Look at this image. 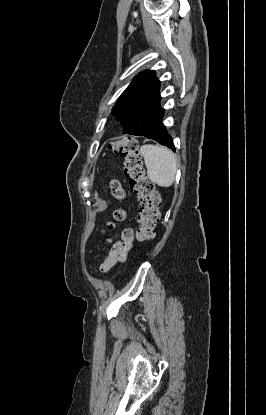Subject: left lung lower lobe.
I'll return each mask as SVG.
<instances>
[{
  "label": "left lung lower lobe",
  "mask_w": 266,
  "mask_h": 415,
  "mask_svg": "<svg viewBox=\"0 0 266 415\" xmlns=\"http://www.w3.org/2000/svg\"><path fill=\"white\" fill-rule=\"evenodd\" d=\"M141 135L145 136L146 138L153 139L160 144L171 148L173 151L175 150L172 137L168 134V131L164 125L154 131L146 132Z\"/></svg>",
  "instance_id": "1"
}]
</instances>
